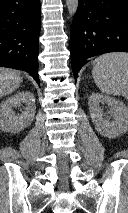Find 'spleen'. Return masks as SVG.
<instances>
[{"label": "spleen", "instance_id": "obj_1", "mask_svg": "<svg viewBox=\"0 0 128 213\" xmlns=\"http://www.w3.org/2000/svg\"><path fill=\"white\" fill-rule=\"evenodd\" d=\"M94 81L102 93L128 100V53H108L94 61Z\"/></svg>", "mask_w": 128, "mask_h": 213}]
</instances>
